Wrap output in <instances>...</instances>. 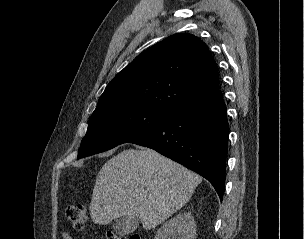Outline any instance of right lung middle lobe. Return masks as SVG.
<instances>
[{
  "label": "right lung middle lobe",
  "instance_id": "1",
  "mask_svg": "<svg viewBox=\"0 0 304 239\" xmlns=\"http://www.w3.org/2000/svg\"><path fill=\"white\" fill-rule=\"evenodd\" d=\"M171 115L150 108L131 107L91 116L78 159L130 142L166 121Z\"/></svg>",
  "mask_w": 304,
  "mask_h": 239
}]
</instances>
